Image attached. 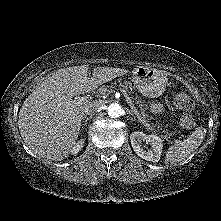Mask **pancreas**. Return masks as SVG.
Segmentation results:
<instances>
[{
	"mask_svg": "<svg viewBox=\"0 0 221 221\" xmlns=\"http://www.w3.org/2000/svg\"><path fill=\"white\" fill-rule=\"evenodd\" d=\"M117 86L119 89H125L129 93V95L131 96L130 97L131 101H132V103H135V105H136L135 108L138 111L139 116L141 117L142 120H144L146 123L149 122L150 120H152V117L149 114H147V112H146L147 108L144 107L141 97L137 94L134 95L135 90H134L131 82L126 81V80H124V81L119 80V84ZM115 87H116V83H114L110 86H102L99 89V92L101 94H107V93L112 92ZM158 127H159V125H158ZM164 138L168 139V138H170V135L166 132V134L164 135Z\"/></svg>",
	"mask_w": 221,
	"mask_h": 221,
	"instance_id": "obj_1",
	"label": "pancreas"
}]
</instances>
